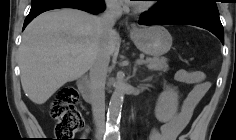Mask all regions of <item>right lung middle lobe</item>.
Segmentation results:
<instances>
[{"label": "right lung middle lobe", "instance_id": "1", "mask_svg": "<svg viewBox=\"0 0 236 140\" xmlns=\"http://www.w3.org/2000/svg\"><path fill=\"white\" fill-rule=\"evenodd\" d=\"M44 1H48V0H32V5L40 3V2H44ZM87 3H90L92 5H100L101 4V0H83Z\"/></svg>", "mask_w": 236, "mask_h": 140}]
</instances>
